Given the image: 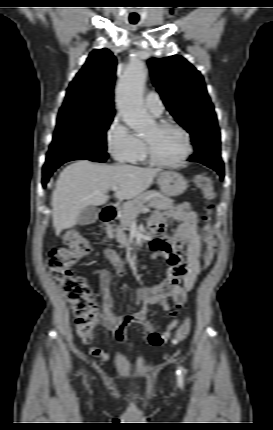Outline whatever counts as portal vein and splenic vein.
Here are the masks:
<instances>
[{"label":"portal vein and splenic vein","instance_id":"portal-vein-and-splenic-vein-1","mask_svg":"<svg viewBox=\"0 0 273 430\" xmlns=\"http://www.w3.org/2000/svg\"><path fill=\"white\" fill-rule=\"evenodd\" d=\"M112 190H113V191H117V190H118V187H117V186H113V187H112ZM148 211H149V209H148V208H144V209H143V212H148Z\"/></svg>","mask_w":273,"mask_h":430}]
</instances>
